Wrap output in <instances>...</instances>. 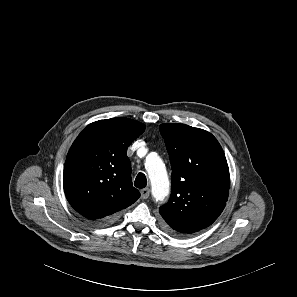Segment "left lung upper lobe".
Returning <instances> with one entry per match:
<instances>
[{
	"label": "left lung upper lobe",
	"instance_id": "obj_1",
	"mask_svg": "<svg viewBox=\"0 0 297 297\" xmlns=\"http://www.w3.org/2000/svg\"><path fill=\"white\" fill-rule=\"evenodd\" d=\"M172 168L171 197L159 212L165 228L187 236L210 226L228 199L230 176L222 147L209 132L185 124L159 126Z\"/></svg>",
	"mask_w": 297,
	"mask_h": 297
}]
</instances>
